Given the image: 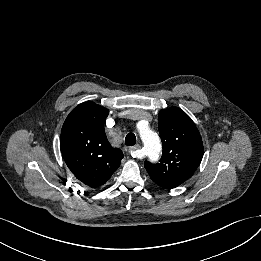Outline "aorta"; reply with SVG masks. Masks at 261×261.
<instances>
[{"mask_svg": "<svg viewBox=\"0 0 261 261\" xmlns=\"http://www.w3.org/2000/svg\"><path fill=\"white\" fill-rule=\"evenodd\" d=\"M139 130L141 139L145 148L149 152L150 158L156 159L158 157V153L161 150V144L158 136L147 127H139Z\"/></svg>", "mask_w": 261, "mask_h": 261, "instance_id": "1", "label": "aorta"}]
</instances>
